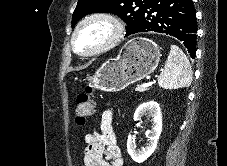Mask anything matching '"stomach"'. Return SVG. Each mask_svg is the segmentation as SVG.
<instances>
[{"instance_id": "stomach-1", "label": "stomach", "mask_w": 227, "mask_h": 166, "mask_svg": "<svg viewBox=\"0 0 227 166\" xmlns=\"http://www.w3.org/2000/svg\"><path fill=\"white\" fill-rule=\"evenodd\" d=\"M160 47L145 37L129 40L116 58L107 60L90 77V84L104 92H117L144 79L158 66Z\"/></svg>"}]
</instances>
